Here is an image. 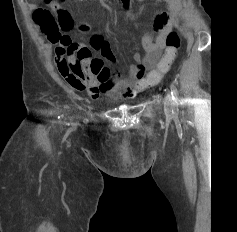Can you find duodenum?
<instances>
[{
  "label": "duodenum",
  "mask_w": 237,
  "mask_h": 232,
  "mask_svg": "<svg viewBox=\"0 0 237 232\" xmlns=\"http://www.w3.org/2000/svg\"><path fill=\"white\" fill-rule=\"evenodd\" d=\"M123 5L127 6L129 4V0H121Z\"/></svg>",
  "instance_id": "410a0bca"
}]
</instances>
